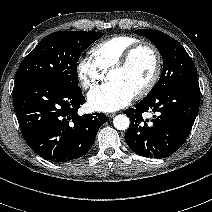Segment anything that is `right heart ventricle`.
<instances>
[{
    "label": "right heart ventricle",
    "mask_w": 212,
    "mask_h": 212,
    "mask_svg": "<svg viewBox=\"0 0 212 212\" xmlns=\"http://www.w3.org/2000/svg\"><path fill=\"white\" fill-rule=\"evenodd\" d=\"M139 40L129 35H117L95 44L90 49L93 62L105 73Z\"/></svg>",
    "instance_id": "obj_1"
}]
</instances>
